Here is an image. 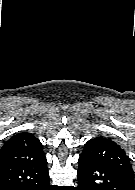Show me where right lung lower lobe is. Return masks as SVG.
<instances>
[{
    "mask_svg": "<svg viewBox=\"0 0 135 190\" xmlns=\"http://www.w3.org/2000/svg\"><path fill=\"white\" fill-rule=\"evenodd\" d=\"M0 190H53L46 157L0 164Z\"/></svg>",
    "mask_w": 135,
    "mask_h": 190,
    "instance_id": "right-lung-lower-lobe-1",
    "label": "right lung lower lobe"
}]
</instances>
